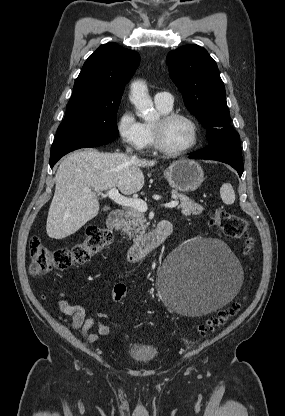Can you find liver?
<instances>
[{"label": "liver", "instance_id": "liver-1", "mask_svg": "<svg viewBox=\"0 0 285 416\" xmlns=\"http://www.w3.org/2000/svg\"><path fill=\"white\" fill-rule=\"evenodd\" d=\"M155 164L156 160H132L126 154H101L93 148L69 154L55 176V194L46 224L49 238L63 240L93 220L100 206L95 192L111 188H119L124 196L140 192L144 186L140 168Z\"/></svg>", "mask_w": 285, "mask_h": 416}]
</instances>
